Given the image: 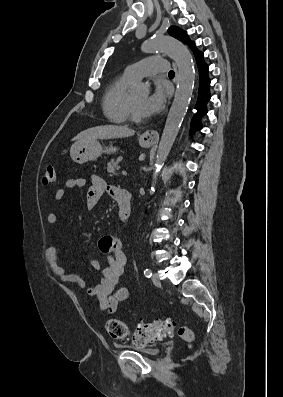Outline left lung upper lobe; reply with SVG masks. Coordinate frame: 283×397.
Wrapping results in <instances>:
<instances>
[{
	"label": "left lung upper lobe",
	"mask_w": 283,
	"mask_h": 397,
	"mask_svg": "<svg viewBox=\"0 0 283 397\" xmlns=\"http://www.w3.org/2000/svg\"><path fill=\"white\" fill-rule=\"evenodd\" d=\"M168 32L170 35H172L176 39L184 42L185 44H188L190 47L193 46V43L188 38L187 33L184 32L183 30H181L180 28L172 26L168 29Z\"/></svg>",
	"instance_id": "obj_1"
}]
</instances>
